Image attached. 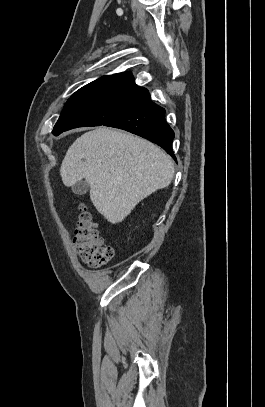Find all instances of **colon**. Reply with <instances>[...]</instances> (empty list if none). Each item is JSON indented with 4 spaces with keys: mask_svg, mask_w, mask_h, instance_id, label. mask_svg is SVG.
Instances as JSON below:
<instances>
[{
    "mask_svg": "<svg viewBox=\"0 0 265 407\" xmlns=\"http://www.w3.org/2000/svg\"><path fill=\"white\" fill-rule=\"evenodd\" d=\"M79 208L81 213L75 234L79 256L88 266L101 267L113 258V248L104 243L93 214L83 205Z\"/></svg>",
    "mask_w": 265,
    "mask_h": 407,
    "instance_id": "colon-1",
    "label": "colon"
}]
</instances>
